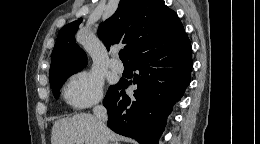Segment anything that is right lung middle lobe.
Wrapping results in <instances>:
<instances>
[{"instance_id": "obj_1", "label": "right lung middle lobe", "mask_w": 260, "mask_h": 144, "mask_svg": "<svg viewBox=\"0 0 260 144\" xmlns=\"http://www.w3.org/2000/svg\"><path fill=\"white\" fill-rule=\"evenodd\" d=\"M81 69L82 68L68 69L49 75L50 85L55 97L59 96V89L62 87L66 79Z\"/></svg>"}]
</instances>
